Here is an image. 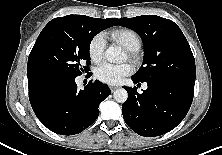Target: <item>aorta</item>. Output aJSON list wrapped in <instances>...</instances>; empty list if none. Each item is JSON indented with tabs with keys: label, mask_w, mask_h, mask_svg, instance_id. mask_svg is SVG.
I'll list each match as a JSON object with an SVG mask.
<instances>
[{
	"label": "aorta",
	"mask_w": 222,
	"mask_h": 155,
	"mask_svg": "<svg viewBox=\"0 0 222 155\" xmlns=\"http://www.w3.org/2000/svg\"><path fill=\"white\" fill-rule=\"evenodd\" d=\"M105 57L110 62L118 63L123 61L124 53L120 47L112 45L105 51ZM113 98L116 102L124 103L128 98V93L125 89L119 88L114 91Z\"/></svg>",
	"instance_id": "aorta-1"
}]
</instances>
